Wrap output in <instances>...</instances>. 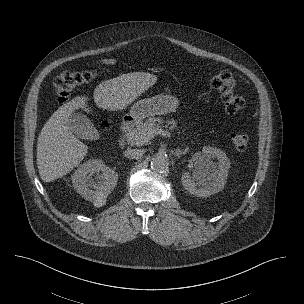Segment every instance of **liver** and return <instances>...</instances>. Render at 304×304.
Here are the masks:
<instances>
[{
  "instance_id": "6515ba94",
  "label": "liver",
  "mask_w": 304,
  "mask_h": 304,
  "mask_svg": "<svg viewBox=\"0 0 304 304\" xmlns=\"http://www.w3.org/2000/svg\"><path fill=\"white\" fill-rule=\"evenodd\" d=\"M157 82V76L145 72L120 75L99 84L94 101L99 108L125 109ZM86 96H77L58 108L43 126L37 142V165L41 179L51 182L77 167L88 153V146L69 128V117L76 109L87 112Z\"/></svg>"
}]
</instances>
